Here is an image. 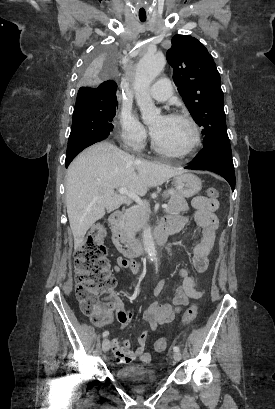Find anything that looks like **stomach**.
I'll use <instances>...</instances> for the list:
<instances>
[{
  "label": "stomach",
  "mask_w": 275,
  "mask_h": 409,
  "mask_svg": "<svg viewBox=\"0 0 275 409\" xmlns=\"http://www.w3.org/2000/svg\"><path fill=\"white\" fill-rule=\"evenodd\" d=\"M175 190L182 194V196H194L202 188V182L199 176L192 174V172H184V174H178L174 178Z\"/></svg>",
  "instance_id": "0dacf381"
}]
</instances>
